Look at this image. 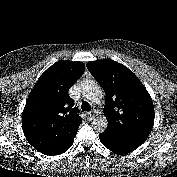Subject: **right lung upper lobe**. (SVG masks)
Here are the masks:
<instances>
[{
	"instance_id": "cb5924a9",
	"label": "right lung upper lobe",
	"mask_w": 177,
	"mask_h": 177,
	"mask_svg": "<svg viewBox=\"0 0 177 177\" xmlns=\"http://www.w3.org/2000/svg\"><path fill=\"white\" fill-rule=\"evenodd\" d=\"M84 70L80 63H56L41 75L28 98L24 114L28 137L56 153L70 143L81 123L68 90Z\"/></svg>"
}]
</instances>
